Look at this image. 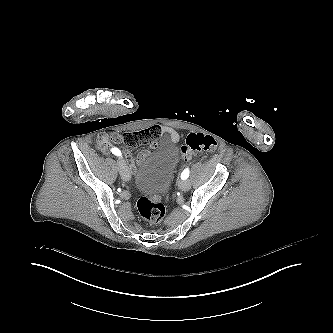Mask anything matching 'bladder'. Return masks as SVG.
Wrapping results in <instances>:
<instances>
[{
    "instance_id": "obj_1",
    "label": "bladder",
    "mask_w": 333,
    "mask_h": 333,
    "mask_svg": "<svg viewBox=\"0 0 333 333\" xmlns=\"http://www.w3.org/2000/svg\"><path fill=\"white\" fill-rule=\"evenodd\" d=\"M178 165V145L165 140L158 144L135 177L134 188L143 195L160 197L171 188Z\"/></svg>"
}]
</instances>
